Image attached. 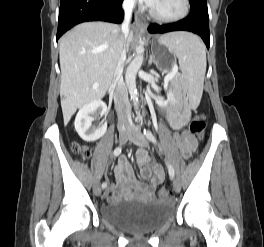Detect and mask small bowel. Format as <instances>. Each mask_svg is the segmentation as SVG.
<instances>
[{"label": "small bowel", "instance_id": "c3829d8e", "mask_svg": "<svg viewBox=\"0 0 264 247\" xmlns=\"http://www.w3.org/2000/svg\"><path fill=\"white\" fill-rule=\"evenodd\" d=\"M189 118V111H184L179 116L170 117L169 121L174 130L181 129ZM176 142L184 158L188 159L196 148L195 138L187 131L182 134H175ZM136 159L140 166V175L143 179L150 180V183L142 186L134 175L129 161L121 157L115 166L114 172L118 181V187L110 186L106 196L108 201H115L119 197L136 196L142 199H151L154 197L156 188L164 179V173L161 166L152 162L145 149H139L136 153Z\"/></svg>", "mask_w": 264, "mask_h": 247}]
</instances>
